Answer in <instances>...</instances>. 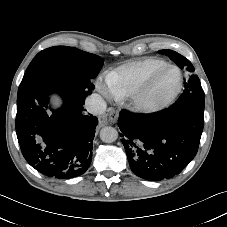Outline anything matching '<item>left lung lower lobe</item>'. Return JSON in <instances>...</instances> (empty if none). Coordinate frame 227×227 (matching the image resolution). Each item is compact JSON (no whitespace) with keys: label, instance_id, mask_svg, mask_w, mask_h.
Returning a JSON list of instances; mask_svg holds the SVG:
<instances>
[{"label":"left lung lower lobe","instance_id":"0a47b994","mask_svg":"<svg viewBox=\"0 0 227 227\" xmlns=\"http://www.w3.org/2000/svg\"><path fill=\"white\" fill-rule=\"evenodd\" d=\"M118 125L134 174L153 181L172 178L197 153L204 126V101L177 100L169 108L149 114L122 110Z\"/></svg>","mask_w":227,"mask_h":227}]
</instances>
